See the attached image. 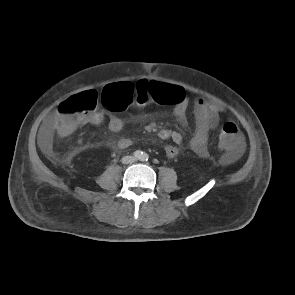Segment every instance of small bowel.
Instances as JSON below:
<instances>
[{
	"mask_svg": "<svg viewBox=\"0 0 295 295\" xmlns=\"http://www.w3.org/2000/svg\"><path fill=\"white\" fill-rule=\"evenodd\" d=\"M142 82V81H141ZM139 83V82H138ZM177 90V96L173 102V115L179 119H184L189 106V99L183 88L174 86ZM224 112L221 105L207 101L202 97H198L194 102V113L196 118V128L192 138L188 142V147L201 157L208 156V139L210 132L215 129L219 123L220 115ZM105 114L101 111L90 113L84 118L82 124L98 125L103 122ZM56 116H52L43 125L39 133V143L45 151H50L52 145V134L55 131ZM123 120L118 116H110L108 127L112 132H119L123 129ZM159 138L164 141H171L174 145H166L164 150L168 158H175L179 154V149L184 145L183 136L174 130L163 129L158 134ZM132 145L130 138H121L117 142L120 149H126ZM243 151V143H240L234 150L227 151L226 160L228 163L234 162Z\"/></svg>",
	"mask_w": 295,
	"mask_h": 295,
	"instance_id": "1",
	"label": "small bowel"
}]
</instances>
